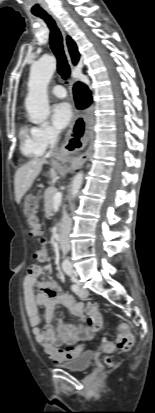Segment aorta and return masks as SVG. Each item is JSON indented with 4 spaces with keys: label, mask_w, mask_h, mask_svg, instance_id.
<instances>
[{
    "label": "aorta",
    "mask_w": 155,
    "mask_h": 413,
    "mask_svg": "<svg viewBox=\"0 0 155 413\" xmlns=\"http://www.w3.org/2000/svg\"><path fill=\"white\" fill-rule=\"evenodd\" d=\"M55 69L56 60L48 55L41 57L31 66L25 107L29 120L34 124L44 122L50 114L47 87ZM82 183L83 172H78L74 176L71 185V195L73 198L78 194ZM62 267L64 269H71V262L68 259H64Z\"/></svg>",
    "instance_id": "1"
}]
</instances>
